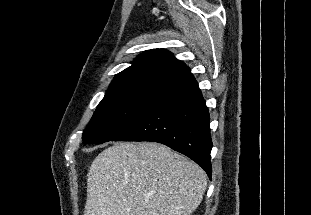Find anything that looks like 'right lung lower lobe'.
I'll return each mask as SVG.
<instances>
[{
  "label": "right lung lower lobe",
  "mask_w": 311,
  "mask_h": 215,
  "mask_svg": "<svg viewBox=\"0 0 311 215\" xmlns=\"http://www.w3.org/2000/svg\"><path fill=\"white\" fill-rule=\"evenodd\" d=\"M113 141L162 143L195 161L211 178L210 117L191 73L170 84L158 103Z\"/></svg>",
  "instance_id": "1"
}]
</instances>
